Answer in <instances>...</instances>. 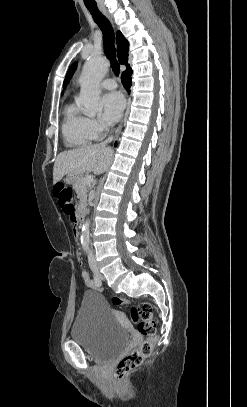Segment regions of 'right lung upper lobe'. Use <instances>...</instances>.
Returning <instances> with one entry per match:
<instances>
[{
  "label": "right lung upper lobe",
  "mask_w": 247,
  "mask_h": 407,
  "mask_svg": "<svg viewBox=\"0 0 247 407\" xmlns=\"http://www.w3.org/2000/svg\"><path fill=\"white\" fill-rule=\"evenodd\" d=\"M117 48H118V59L121 64H126L127 67L129 64L127 63L128 60V48L129 43L124 38L123 34L120 31H117Z\"/></svg>",
  "instance_id": "1"
}]
</instances>
